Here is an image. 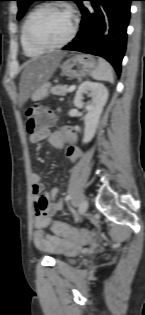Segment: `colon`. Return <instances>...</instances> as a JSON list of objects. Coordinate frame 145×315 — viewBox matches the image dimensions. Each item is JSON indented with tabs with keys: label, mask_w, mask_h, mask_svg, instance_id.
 I'll return each instance as SVG.
<instances>
[{
	"label": "colon",
	"mask_w": 145,
	"mask_h": 315,
	"mask_svg": "<svg viewBox=\"0 0 145 315\" xmlns=\"http://www.w3.org/2000/svg\"><path fill=\"white\" fill-rule=\"evenodd\" d=\"M53 121V114L37 105L28 108L26 112V129L30 134L48 128ZM51 230L58 236L72 240H88L91 236V233L88 230L78 229L60 221L53 222Z\"/></svg>",
	"instance_id": "colon-1"
}]
</instances>
